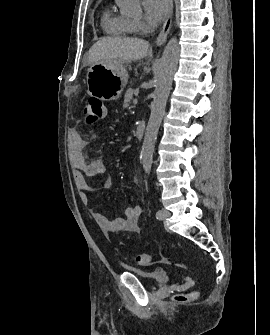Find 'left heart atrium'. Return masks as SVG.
<instances>
[{
  "instance_id": "obj_1",
  "label": "left heart atrium",
  "mask_w": 270,
  "mask_h": 335,
  "mask_svg": "<svg viewBox=\"0 0 270 335\" xmlns=\"http://www.w3.org/2000/svg\"><path fill=\"white\" fill-rule=\"evenodd\" d=\"M145 17L152 30H156L168 16L170 5L167 0H144Z\"/></svg>"
}]
</instances>
